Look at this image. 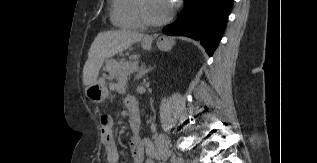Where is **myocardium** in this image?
Returning <instances> with one entry per match:
<instances>
[{
  "instance_id": "f54148a6",
  "label": "myocardium",
  "mask_w": 317,
  "mask_h": 163,
  "mask_svg": "<svg viewBox=\"0 0 317 163\" xmlns=\"http://www.w3.org/2000/svg\"><path fill=\"white\" fill-rule=\"evenodd\" d=\"M137 8H138V12H139V15L141 17V19L143 20V22L146 24V25H149V26H154V27H158V26H162V25H165L166 23H168L172 16H173V12L171 11L165 18L163 19H160V20H156V19H153L147 9H146V4H145V0H138L137 2Z\"/></svg>"
}]
</instances>
